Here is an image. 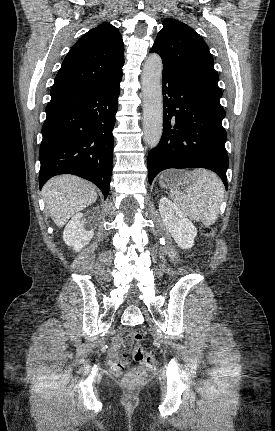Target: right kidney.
I'll return each mask as SVG.
<instances>
[{"label": "right kidney", "mask_w": 275, "mask_h": 431, "mask_svg": "<svg viewBox=\"0 0 275 431\" xmlns=\"http://www.w3.org/2000/svg\"><path fill=\"white\" fill-rule=\"evenodd\" d=\"M84 224V214L77 213L68 222L63 232L65 244L73 247L76 252L87 245L94 235V231L85 229Z\"/></svg>", "instance_id": "obj_1"}]
</instances>
